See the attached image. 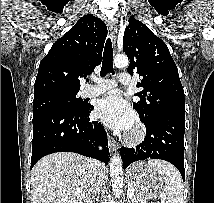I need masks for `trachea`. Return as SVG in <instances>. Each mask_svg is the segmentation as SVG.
Returning a JSON list of instances; mask_svg holds the SVG:
<instances>
[{
	"instance_id": "obj_1",
	"label": "trachea",
	"mask_w": 214,
	"mask_h": 203,
	"mask_svg": "<svg viewBox=\"0 0 214 203\" xmlns=\"http://www.w3.org/2000/svg\"><path fill=\"white\" fill-rule=\"evenodd\" d=\"M112 60H113L112 42H111V39L108 38L104 48L103 62H102V68L100 71V76H104L107 73L114 74Z\"/></svg>"
}]
</instances>
